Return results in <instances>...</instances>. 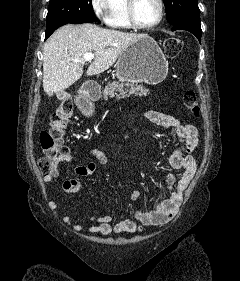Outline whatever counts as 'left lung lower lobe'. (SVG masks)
Segmentation results:
<instances>
[{"mask_svg":"<svg viewBox=\"0 0 240 281\" xmlns=\"http://www.w3.org/2000/svg\"><path fill=\"white\" fill-rule=\"evenodd\" d=\"M174 30L189 31L196 36V38L199 40V42H201L202 30H201L200 23H195V22H190V21L180 22V23H177L172 26V31H174Z\"/></svg>","mask_w":240,"mask_h":281,"instance_id":"left-lung-lower-lobe-1","label":"left lung lower lobe"}]
</instances>
